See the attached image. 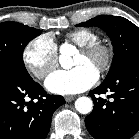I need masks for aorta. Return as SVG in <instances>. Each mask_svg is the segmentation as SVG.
Returning <instances> with one entry per match:
<instances>
[{
    "mask_svg": "<svg viewBox=\"0 0 139 139\" xmlns=\"http://www.w3.org/2000/svg\"><path fill=\"white\" fill-rule=\"evenodd\" d=\"M75 52V48L69 44H63L60 47L59 63L64 69H70L73 66L72 55ZM75 108L81 114H88L93 109V102L89 97H79L75 101Z\"/></svg>",
    "mask_w": 139,
    "mask_h": 139,
    "instance_id": "1",
    "label": "aorta"
}]
</instances>
